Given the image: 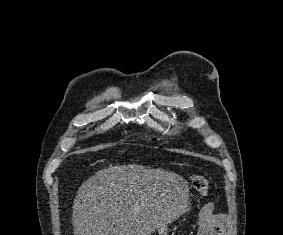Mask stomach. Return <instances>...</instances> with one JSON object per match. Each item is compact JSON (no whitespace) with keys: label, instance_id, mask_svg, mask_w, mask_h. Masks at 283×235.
I'll return each mask as SVG.
<instances>
[{"label":"stomach","instance_id":"stomach-1","mask_svg":"<svg viewBox=\"0 0 283 235\" xmlns=\"http://www.w3.org/2000/svg\"><path fill=\"white\" fill-rule=\"evenodd\" d=\"M176 209H177L178 215L189 210V202H188L186 195H180L178 197ZM157 232L159 235H167L168 233L167 224L164 223L160 227H158Z\"/></svg>","mask_w":283,"mask_h":235}]
</instances>
